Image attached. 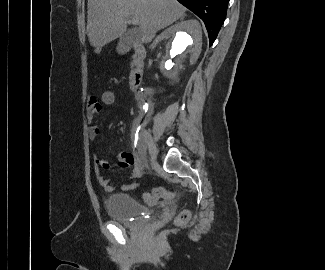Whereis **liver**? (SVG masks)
I'll return each mask as SVG.
<instances>
[{
  "instance_id": "1",
  "label": "liver",
  "mask_w": 325,
  "mask_h": 270,
  "mask_svg": "<svg viewBox=\"0 0 325 270\" xmlns=\"http://www.w3.org/2000/svg\"><path fill=\"white\" fill-rule=\"evenodd\" d=\"M87 7L86 33L97 50L126 32L130 16L139 20L141 41L149 43L186 11L176 0H88Z\"/></svg>"
}]
</instances>
